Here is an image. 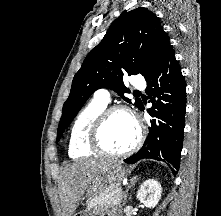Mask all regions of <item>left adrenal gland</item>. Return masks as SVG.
Segmentation results:
<instances>
[{"mask_svg":"<svg viewBox=\"0 0 221 216\" xmlns=\"http://www.w3.org/2000/svg\"><path fill=\"white\" fill-rule=\"evenodd\" d=\"M138 180V177L137 176H134L131 180H130V184L128 185L126 191H125V194H124V205L127 203V197H128V191L129 189H131V187H133L136 182Z\"/></svg>","mask_w":221,"mask_h":216,"instance_id":"1","label":"left adrenal gland"}]
</instances>
